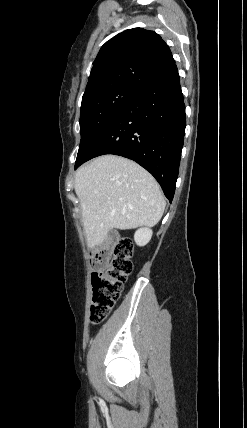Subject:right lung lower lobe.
<instances>
[{
	"label": "right lung lower lobe",
	"instance_id": "obj_1",
	"mask_svg": "<svg viewBox=\"0 0 247 428\" xmlns=\"http://www.w3.org/2000/svg\"><path fill=\"white\" fill-rule=\"evenodd\" d=\"M185 127V105L175 65L121 109L76 160L75 169L104 154L132 159L156 178L171 202Z\"/></svg>",
	"mask_w": 247,
	"mask_h": 428
}]
</instances>
